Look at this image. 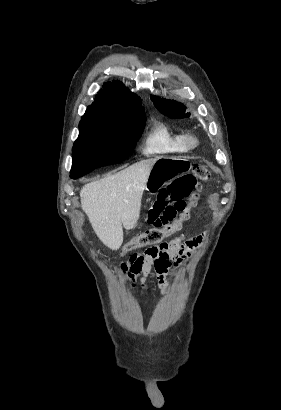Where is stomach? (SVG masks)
<instances>
[{
  "label": "stomach",
  "instance_id": "1",
  "mask_svg": "<svg viewBox=\"0 0 281 410\" xmlns=\"http://www.w3.org/2000/svg\"><path fill=\"white\" fill-rule=\"evenodd\" d=\"M190 168V162L184 157H159L150 170L146 190L155 193L173 176L184 173Z\"/></svg>",
  "mask_w": 281,
  "mask_h": 410
}]
</instances>
